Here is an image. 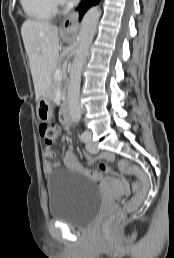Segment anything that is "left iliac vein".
Segmentation results:
<instances>
[{"mask_svg":"<svg viewBox=\"0 0 174 258\" xmlns=\"http://www.w3.org/2000/svg\"><path fill=\"white\" fill-rule=\"evenodd\" d=\"M86 132L88 133V137H89L88 141L86 142V146H87L88 151L91 152V153H97L98 149L91 141V133L88 132V131H86Z\"/></svg>","mask_w":174,"mask_h":258,"instance_id":"4c4485c4","label":"left iliac vein"}]
</instances>
